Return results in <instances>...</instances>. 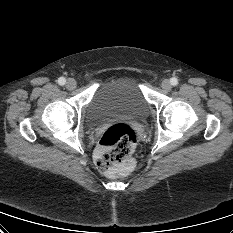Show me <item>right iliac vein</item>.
Masks as SVG:
<instances>
[{
    "label": "right iliac vein",
    "mask_w": 233,
    "mask_h": 233,
    "mask_svg": "<svg viewBox=\"0 0 233 233\" xmlns=\"http://www.w3.org/2000/svg\"><path fill=\"white\" fill-rule=\"evenodd\" d=\"M76 81L73 78H69L66 82V88L69 90H73L76 88Z\"/></svg>",
    "instance_id": "right-iliac-vein-1"
}]
</instances>
